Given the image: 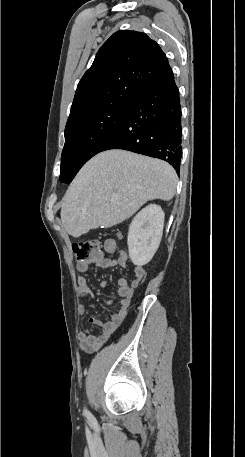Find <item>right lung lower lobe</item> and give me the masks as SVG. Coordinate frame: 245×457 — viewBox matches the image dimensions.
<instances>
[{"mask_svg": "<svg viewBox=\"0 0 245 457\" xmlns=\"http://www.w3.org/2000/svg\"><path fill=\"white\" fill-rule=\"evenodd\" d=\"M181 106L174 76L146 88L101 151L124 149L170 163L179 174Z\"/></svg>", "mask_w": 245, "mask_h": 457, "instance_id": "right-lung-lower-lobe-1", "label": "right lung lower lobe"}]
</instances>
